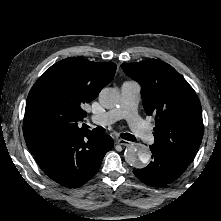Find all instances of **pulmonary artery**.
I'll return each instance as SVG.
<instances>
[{
    "instance_id": "pulmonary-artery-1",
    "label": "pulmonary artery",
    "mask_w": 221,
    "mask_h": 221,
    "mask_svg": "<svg viewBox=\"0 0 221 221\" xmlns=\"http://www.w3.org/2000/svg\"><path fill=\"white\" fill-rule=\"evenodd\" d=\"M140 85L134 81H125L121 85V102L118 108L92 115L90 122L100 126L109 125L125 118L133 133L144 143L149 144L154 136L147 124L138 116L137 105L140 97Z\"/></svg>"
}]
</instances>
